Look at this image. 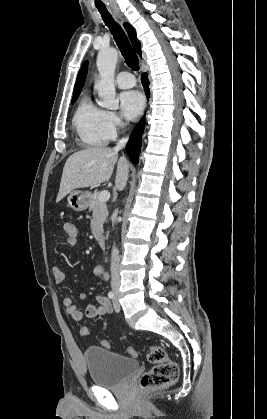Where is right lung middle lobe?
<instances>
[{
  "label": "right lung middle lobe",
  "instance_id": "obj_1",
  "mask_svg": "<svg viewBox=\"0 0 267 419\" xmlns=\"http://www.w3.org/2000/svg\"><path fill=\"white\" fill-rule=\"evenodd\" d=\"M78 96L79 95L73 96V98H72V104L77 100Z\"/></svg>",
  "mask_w": 267,
  "mask_h": 419
}]
</instances>
